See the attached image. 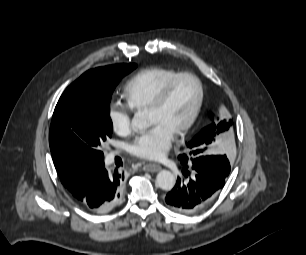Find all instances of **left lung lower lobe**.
<instances>
[{
    "mask_svg": "<svg viewBox=\"0 0 306 255\" xmlns=\"http://www.w3.org/2000/svg\"><path fill=\"white\" fill-rule=\"evenodd\" d=\"M182 176L166 195L165 201L171 209L183 214H192L208 205L221 191L229 175L186 156L179 158ZM190 172L193 176H190Z\"/></svg>",
    "mask_w": 306,
    "mask_h": 255,
    "instance_id": "obj_1",
    "label": "left lung lower lobe"
}]
</instances>
